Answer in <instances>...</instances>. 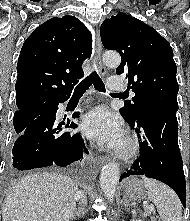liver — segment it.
<instances>
[{"label": "liver", "instance_id": "liver-1", "mask_svg": "<svg viewBox=\"0 0 190 221\" xmlns=\"http://www.w3.org/2000/svg\"><path fill=\"white\" fill-rule=\"evenodd\" d=\"M77 183L70 177L38 172L21 178L2 205L3 221H70L76 208Z\"/></svg>", "mask_w": 190, "mask_h": 221}]
</instances>
